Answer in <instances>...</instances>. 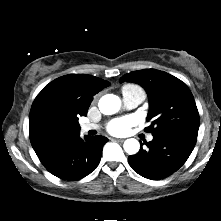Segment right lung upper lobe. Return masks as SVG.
<instances>
[{"instance_id": "right-lung-upper-lobe-1", "label": "right lung upper lobe", "mask_w": 221, "mask_h": 221, "mask_svg": "<svg viewBox=\"0 0 221 221\" xmlns=\"http://www.w3.org/2000/svg\"><path fill=\"white\" fill-rule=\"evenodd\" d=\"M110 82L87 74H69L49 83L35 98L29 115L30 141L40 161L65 141L80 135L93 96Z\"/></svg>"}]
</instances>
